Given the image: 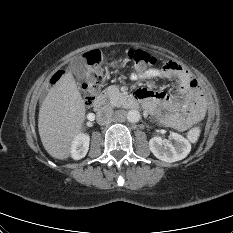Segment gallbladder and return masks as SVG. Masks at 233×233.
Listing matches in <instances>:
<instances>
[{
    "instance_id": "1",
    "label": "gallbladder",
    "mask_w": 233,
    "mask_h": 233,
    "mask_svg": "<svg viewBox=\"0 0 233 233\" xmlns=\"http://www.w3.org/2000/svg\"><path fill=\"white\" fill-rule=\"evenodd\" d=\"M71 71L77 80H83L86 77L85 60L82 57L75 59L71 64Z\"/></svg>"
}]
</instances>
